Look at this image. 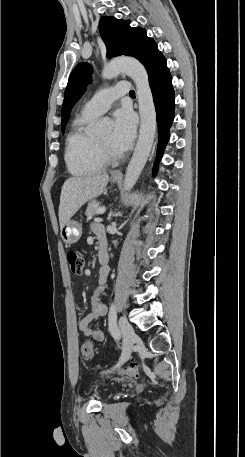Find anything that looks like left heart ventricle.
Returning a JSON list of instances; mask_svg holds the SVG:
<instances>
[{
	"instance_id": "1",
	"label": "left heart ventricle",
	"mask_w": 245,
	"mask_h": 457,
	"mask_svg": "<svg viewBox=\"0 0 245 457\" xmlns=\"http://www.w3.org/2000/svg\"><path fill=\"white\" fill-rule=\"evenodd\" d=\"M99 144L108 152L118 154L121 151L113 146L112 144V134L111 131H106L101 134L95 135Z\"/></svg>"
}]
</instances>
